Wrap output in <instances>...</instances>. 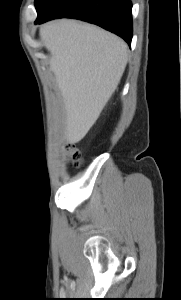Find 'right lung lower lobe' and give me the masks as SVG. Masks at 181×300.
<instances>
[{
  "instance_id": "obj_1",
  "label": "right lung lower lobe",
  "mask_w": 181,
  "mask_h": 300,
  "mask_svg": "<svg viewBox=\"0 0 181 300\" xmlns=\"http://www.w3.org/2000/svg\"><path fill=\"white\" fill-rule=\"evenodd\" d=\"M132 4L130 0H59L35 24L56 18H75L96 24L122 37L132 39Z\"/></svg>"
}]
</instances>
